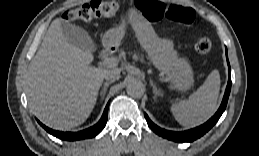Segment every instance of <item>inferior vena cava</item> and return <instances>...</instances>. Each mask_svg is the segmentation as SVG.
<instances>
[{"mask_svg":"<svg viewBox=\"0 0 259 156\" xmlns=\"http://www.w3.org/2000/svg\"><path fill=\"white\" fill-rule=\"evenodd\" d=\"M104 78L107 81H111L114 82L116 80H118L120 78V71L113 69V70H108L106 71V73L104 74Z\"/></svg>","mask_w":259,"mask_h":156,"instance_id":"obj_1","label":"inferior vena cava"}]
</instances>
